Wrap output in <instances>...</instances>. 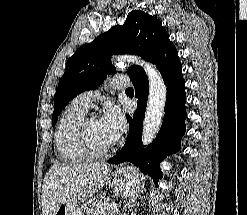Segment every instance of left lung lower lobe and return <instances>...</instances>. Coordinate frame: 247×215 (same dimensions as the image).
<instances>
[{
	"instance_id": "left-lung-lower-lobe-1",
	"label": "left lung lower lobe",
	"mask_w": 247,
	"mask_h": 215,
	"mask_svg": "<svg viewBox=\"0 0 247 215\" xmlns=\"http://www.w3.org/2000/svg\"><path fill=\"white\" fill-rule=\"evenodd\" d=\"M160 71L167 86L165 116L155 140L147 148L141 146L142 123L147 105L149 81L144 70L131 78L138 98L137 109L133 117H127L129 134L124 147L110 160V164L131 162L140 171L149 175L156 186L163 177L160 162L167 155L180 150L181 138L185 134L186 94L182 75V66L174 44L168 40L162 45L152 60Z\"/></svg>"
}]
</instances>
